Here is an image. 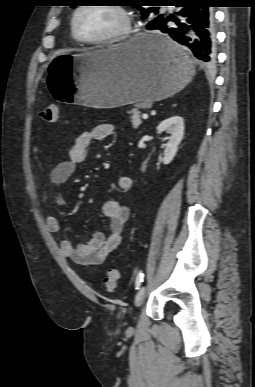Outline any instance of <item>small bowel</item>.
I'll use <instances>...</instances> for the list:
<instances>
[{"label":"small bowel","mask_w":255,"mask_h":387,"mask_svg":"<svg viewBox=\"0 0 255 387\" xmlns=\"http://www.w3.org/2000/svg\"><path fill=\"white\" fill-rule=\"evenodd\" d=\"M114 125L101 123L79 134L71 146L68 158L55 165L48 174L50 184L58 188L65 184L75 173L79 164L87 157L88 148L94 141L103 140L115 132ZM117 188L121 192H127L132 188V179L128 176H120L117 180ZM55 204L64 207L66 201L61 192H55ZM102 213L109 219V232H96L87 243L74 244L64 239L60 243L62 254L80 265H100L107 256L122 242L123 230L130 217L127 205L115 199L106 200L102 205ZM47 229L52 233H58L61 229L60 220L56 216H49L46 220Z\"/></svg>","instance_id":"small-bowel-1"}]
</instances>
